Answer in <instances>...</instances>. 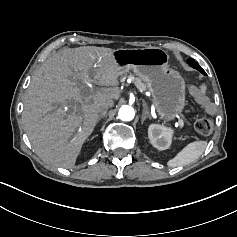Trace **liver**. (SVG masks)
<instances>
[{
	"label": "liver",
	"mask_w": 237,
	"mask_h": 237,
	"mask_svg": "<svg viewBox=\"0 0 237 237\" xmlns=\"http://www.w3.org/2000/svg\"><path fill=\"white\" fill-rule=\"evenodd\" d=\"M112 52L95 46L65 48L49 57L33 76L22 120L32 148L43 162L73 167L104 110L100 103L119 99V75ZM89 80L106 87L83 98L80 89Z\"/></svg>",
	"instance_id": "6515ba94"
}]
</instances>
